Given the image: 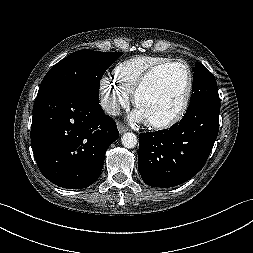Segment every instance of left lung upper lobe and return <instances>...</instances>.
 <instances>
[{
    "instance_id": "5c2ea615",
    "label": "left lung upper lobe",
    "mask_w": 253,
    "mask_h": 253,
    "mask_svg": "<svg viewBox=\"0 0 253 253\" xmlns=\"http://www.w3.org/2000/svg\"><path fill=\"white\" fill-rule=\"evenodd\" d=\"M193 71L194 93L189 107L204 100L220 101L215 77L200 62H196Z\"/></svg>"
}]
</instances>
